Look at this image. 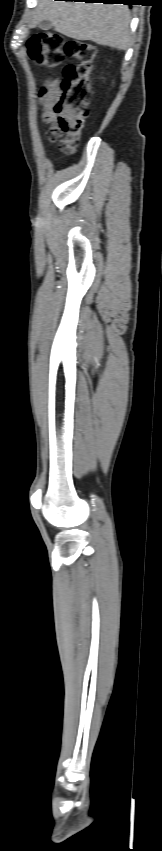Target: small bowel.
<instances>
[{
    "instance_id": "small-bowel-1",
    "label": "small bowel",
    "mask_w": 162,
    "mask_h": 851,
    "mask_svg": "<svg viewBox=\"0 0 162 851\" xmlns=\"http://www.w3.org/2000/svg\"><path fill=\"white\" fill-rule=\"evenodd\" d=\"M61 94V80H45L38 91V99L42 106V119L50 124L51 128L46 132L50 142L58 141V148L65 154H72L75 150L74 144L68 137L64 136L56 125L54 106Z\"/></svg>"
}]
</instances>
